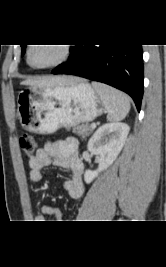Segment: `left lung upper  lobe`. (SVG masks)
Returning a JSON list of instances; mask_svg holds the SVG:
<instances>
[{
  "instance_id": "1",
  "label": "left lung upper lobe",
  "mask_w": 166,
  "mask_h": 267,
  "mask_svg": "<svg viewBox=\"0 0 166 267\" xmlns=\"http://www.w3.org/2000/svg\"><path fill=\"white\" fill-rule=\"evenodd\" d=\"M21 47H22V55L25 53V47H26V45H21Z\"/></svg>"
}]
</instances>
